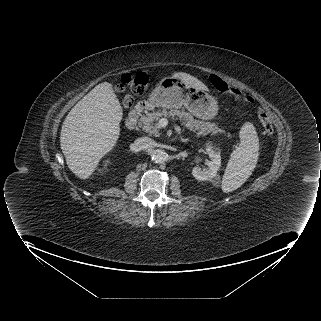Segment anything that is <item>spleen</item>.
<instances>
[{"instance_id":"spleen-1","label":"spleen","mask_w":321,"mask_h":321,"mask_svg":"<svg viewBox=\"0 0 321 321\" xmlns=\"http://www.w3.org/2000/svg\"><path fill=\"white\" fill-rule=\"evenodd\" d=\"M240 144L231 153L223 179L225 193L239 188L252 174L259 156V138L254 125L246 122L239 132Z\"/></svg>"}]
</instances>
